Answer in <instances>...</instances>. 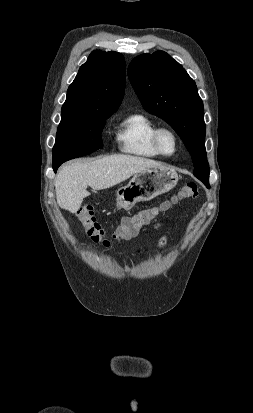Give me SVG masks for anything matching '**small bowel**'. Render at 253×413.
Masks as SVG:
<instances>
[{"mask_svg":"<svg viewBox=\"0 0 253 413\" xmlns=\"http://www.w3.org/2000/svg\"><path fill=\"white\" fill-rule=\"evenodd\" d=\"M157 226V225H155ZM166 245V238L163 237L160 241H159V248H163Z\"/></svg>","mask_w":253,"mask_h":413,"instance_id":"c3829d8e","label":"small bowel"}]
</instances>
